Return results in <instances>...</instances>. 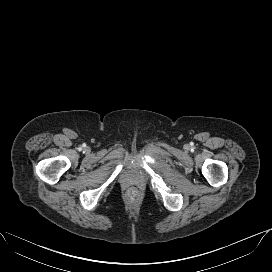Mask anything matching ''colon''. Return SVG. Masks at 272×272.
<instances>
[{"mask_svg":"<svg viewBox=\"0 0 272 272\" xmlns=\"http://www.w3.org/2000/svg\"><path fill=\"white\" fill-rule=\"evenodd\" d=\"M139 196H140V194H139V192L136 189H130L127 192V198L130 201H136V200H138Z\"/></svg>","mask_w":272,"mask_h":272,"instance_id":"colon-1","label":"colon"}]
</instances>
